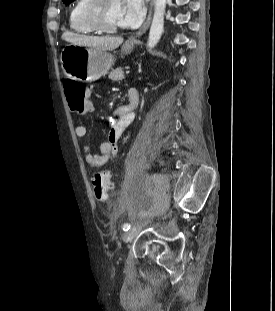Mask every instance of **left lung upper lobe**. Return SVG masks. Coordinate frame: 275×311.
Masks as SVG:
<instances>
[{
	"label": "left lung upper lobe",
	"instance_id": "5c2ea615",
	"mask_svg": "<svg viewBox=\"0 0 275 311\" xmlns=\"http://www.w3.org/2000/svg\"><path fill=\"white\" fill-rule=\"evenodd\" d=\"M74 0H63V2L65 3V4H69V3H71V2H73Z\"/></svg>",
	"mask_w": 275,
	"mask_h": 311
}]
</instances>
